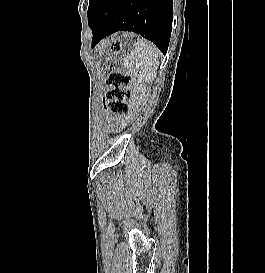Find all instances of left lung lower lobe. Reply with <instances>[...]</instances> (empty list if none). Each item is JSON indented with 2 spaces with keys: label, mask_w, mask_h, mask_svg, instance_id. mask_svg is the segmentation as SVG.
Here are the masks:
<instances>
[{
  "label": "left lung lower lobe",
  "mask_w": 265,
  "mask_h": 273,
  "mask_svg": "<svg viewBox=\"0 0 265 273\" xmlns=\"http://www.w3.org/2000/svg\"><path fill=\"white\" fill-rule=\"evenodd\" d=\"M94 14H103L101 23L91 21L92 47L116 31H133L154 42L165 54L168 49L173 0H89Z\"/></svg>",
  "instance_id": "left-lung-lower-lobe-1"
}]
</instances>
